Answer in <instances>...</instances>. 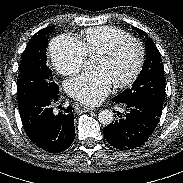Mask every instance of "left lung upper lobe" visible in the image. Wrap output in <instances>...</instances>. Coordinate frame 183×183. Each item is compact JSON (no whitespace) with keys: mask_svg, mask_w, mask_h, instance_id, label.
Here are the masks:
<instances>
[{"mask_svg":"<svg viewBox=\"0 0 183 183\" xmlns=\"http://www.w3.org/2000/svg\"><path fill=\"white\" fill-rule=\"evenodd\" d=\"M134 29L146 38V60L132 87L115 98L138 101L161 112L165 99V77L160 52L143 30L136 27Z\"/></svg>","mask_w":183,"mask_h":183,"instance_id":"1","label":"left lung upper lobe"}]
</instances>
